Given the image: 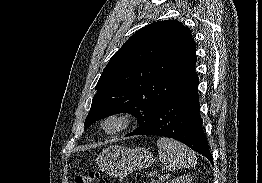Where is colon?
I'll return each instance as SVG.
<instances>
[{
  "label": "colon",
  "instance_id": "obj_1",
  "mask_svg": "<svg viewBox=\"0 0 262 183\" xmlns=\"http://www.w3.org/2000/svg\"><path fill=\"white\" fill-rule=\"evenodd\" d=\"M99 177H100L99 172L88 171V172L79 174L75 178V183H94Z\"/></svg>",
  "mask_w": 262,
  "mask_h": 183
}]
</instances>
